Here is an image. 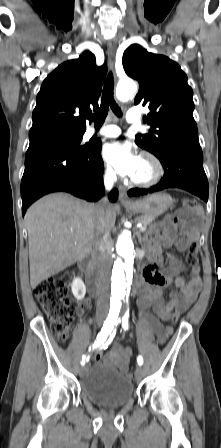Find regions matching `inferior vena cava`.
Masks as SVG:
<instances>
[{
    "label": "inferior vena cava",
    "instance_id": "1",
    "mask_svg": "<svg viewBox=\"0 0 221 448\" xmlns=\"http://www.w3.org/2000/svg\"><path fill=\"white\" fill-rule=\"evenodd\" d=\"M116 175L112 172L108 173L105 178V187H112ZM107 207V198L101 199L96 205V213L100 217L96 227L95 241L93 244V252L99 272V298L97 302V313L106 315L109 310V290H110V273L112 266V251L110 231L104 228L103 216Z\"/></svg>",
    "mask_w": 221,
    "mask_h": 448
}]
</instances>
